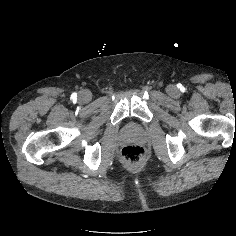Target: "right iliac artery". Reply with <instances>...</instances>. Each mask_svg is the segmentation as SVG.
Returning <instances> with one entry per match:
<instances>
[{
  "label": "right iliac artery",
  "mask_w": 236,
  "mask_h": 236,
  "mask_svg": "<svg viewBox=\"0 0 236 236\" xmlns=\"http://www.w3.org/2000/svg\"><path fill=\"white\" fill-rule=\"evenodd\" d=\"M71 98H72V99H76V98H77V94H76V93H73V94L71 95Z\"/></svg>",
  "instance_id": "obj_1"
}]
</instances>
